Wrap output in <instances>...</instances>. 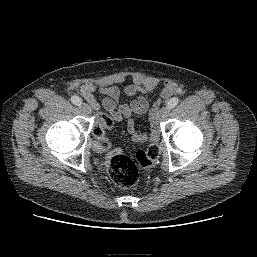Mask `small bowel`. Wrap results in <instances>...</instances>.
Returning <instances> with one entry per match:
<instances>
[{"instance_id":"1","label":"small bowel","mask_w":257,"mask_h":257,"mask_svg":"<svg viewBox=\"0 0 257 257\" xmlns=\"http://www.w3.org/2000/svg\"><path fill=\"white\" fill-rule=\"evenodd\" d=\"M156 87L155 83L144 86L124 85V86H96L92 83H85L81 86V95L88 102L93 110H98L102 106L108 115H101L99 121L105 116L111 117L115 121H126L127 130L132 139L137 143L146 141L156 142L159 136V128L156 122V114L159 104L150 107L147 100L141 95L152 91ZM176 87L173 83L167 82L163 90V95L168 97L174 94ZM96 93L101 95V101L96 98ZM122 96L132 97L129 103L120 101ZM147 115L150 120L149 133L137 130L134 116Z\"/></svg>"}]
</instances>
